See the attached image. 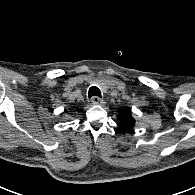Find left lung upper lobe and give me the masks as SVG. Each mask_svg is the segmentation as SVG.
<instances>
[{"label": "left lung upper lobe", "instance_id": "obj_1", "mask_svg": "<svg viewBox=\"0 0 195 195\" xmlns=\"http://www.w3.org/2000/svg\"><path fill=\"white\" fill-rule=\"evenodd\" d=\"M118 125L122 130L130 131L135 126V120L129 109L120 111L118 115Z\"/></svg>", "mask_w": 195, "mask_h": 195}]
</instances>
